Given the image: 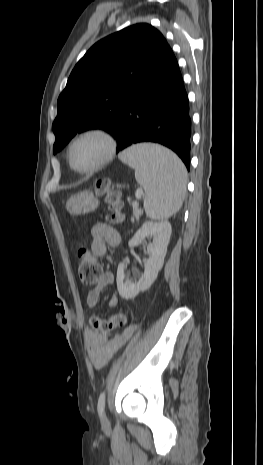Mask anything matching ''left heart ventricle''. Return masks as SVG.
Returning <instances> with one entry per match:
<instances>
[{
	"label": "left heart ventricle",
	"instance_id": "obj_1",
	"mask_svg": "<svg viewBox=\"0 0 263 465\" xmlns=\"http://www.w3.org/2000/svg\"><path fill=\"white\" fill-rule=\"evenodd\" d=\"M106 141L96 135H90L78 140L72 149L73 164L79 169L94 166L106 153Z\"/></svg>",
	"mask_w": 263,
	"mask_h": 465
}]
</instances>
